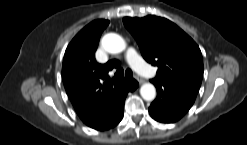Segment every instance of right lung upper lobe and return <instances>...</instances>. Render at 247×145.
I'll use <instances>...</instances> for the list:
<instances>
[{"mask_svg":"<svg viewBox=\"0 0 247 145\" xmlns=\"http://www.w3.org/2000/svg\"><path fill=\"white\" fill-rule=\"evenodd\" d=\"M108 24V20H95L84 27L68 45L63 59V83L84 123L109 110L127 80L109 79L108 72L117 66V61L99 64L95 60L101 33Z\"/></svg>","mask_w":247,"mask_h":145,"instance_id":"right-lung-upper-lobe-1","label":"right lung upper lobe"}]
</instances>
